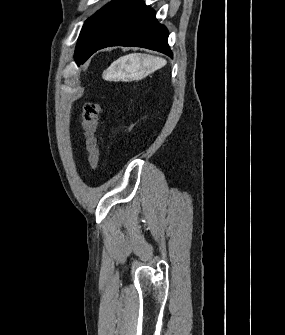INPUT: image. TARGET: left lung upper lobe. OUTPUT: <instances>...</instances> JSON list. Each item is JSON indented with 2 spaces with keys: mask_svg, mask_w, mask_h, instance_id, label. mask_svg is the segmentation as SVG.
Masks as SVG:
<instances>
[{
  "mask_svg": "<svg viewBox=\"0 0 285 335\" xmlns=\"http://www.w3.org/2000/svg\"><path fill=\"white\" fill-rule=\"evenodd\" d=\"M104 8V7H103ZM102 8V9H103ZM101 9V10H102ZM99 10L98 12H96L92 17H90L83 25V28L81 30V33H80V36L78 38V43H77V46H76V51H75V61L78 62L79 60V51H80V48H81V44H82V41H83V38L88 30V28L90 27V25L93 23V21L95 20V18L97 17V15L100 13Z\"/></svg>",
  "mask_w": 285,
  "mask_h": 335,
  "instance_id": "5c2ea615",
  "label": "left lung upper lobe"
}]
</instances>
